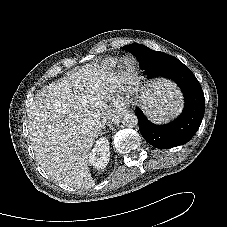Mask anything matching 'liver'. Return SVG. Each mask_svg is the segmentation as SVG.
Masks as SVG:
<instances>
[{"instance_id":"obj_1","label":"liver","mask_w":227,"mask_h":227,"mask_svg":"<svg viewBox=\"0 0 227 227\" xmlns=\"http://www.w3.org/2000/svg\"><path fill=\"white\" fill-rule=\"evenodd\" d=\"M120 82L98 64H88L34 97L27 113L29 138L37 161L55 181L76 189L95 185L88 157L111 107L119 102ZM174 99L181 103L179 94Z\"/></svg>"}]
</instances>
